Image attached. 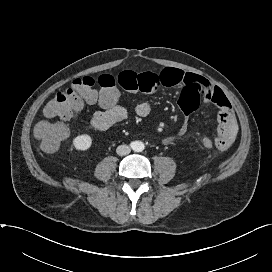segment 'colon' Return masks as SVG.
I'll use <instances>...</instances> for the list:
<instances>
[{"mask_svg": "<svg viewBox=\"0 0 272 272\" xmlns=\"http://www.w3.org/2000/svg\"><path fill=\"white\" fill-rule=\"evenodd\" d=\"M117 84L115 77L108 74L101 75L98 79L84 76L57 92L44 107V115L48 119L59 118L61 121L42 120L34 129L42 150L53 153L59 149L69 137L70 130L66 122L77 116L86 103H98L103 108L116 105L120 99ZM201 142L205 148L214 146L210 137H204Z\"/></svg>", "mask_w": 272, "mask_h": 272, "instance_id": "obj_1", "label": "colon"}]
</instances>
